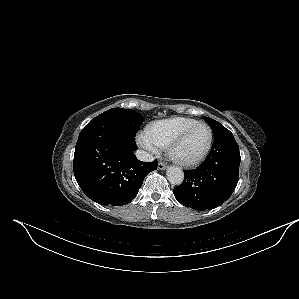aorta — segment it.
I'll return each instance as SVG.
<instances>
[{
  "instance_id": "aorta-1",
  "label": "aorta",
  "mask_w": 299,
  "mask_h": 299,
  "mask_svg": "<svg viewBox=\"0 0 299 299\" xmlns=\"http://www.w3.org/2000/svg\"><path fill=\"white\" fill-rule=\"evenodd\" d=\"M168 181L173 185H180L184 180V173L179 167L171 166L166 171Z\"/></svg>"
}]
</instances>
